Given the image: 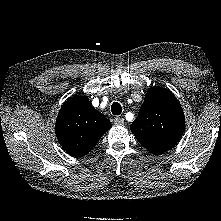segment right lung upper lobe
Here are the masks:
<instances>
[{"label": "right lung upper lobe", "mask_w": 221, "mask_h": 221, "mask_svg": "<svg viewBox=\"0 0 221 221\" xmlns=\"http://www.w3.org/2000/svg\"><path fill=\"white\" fill-rule=\"evenodd\" d=\"M111 123L94 109L87 96H73L61 107L55 131L62 148L72 156L88 154Z\"/></svg>", "instance_id": "1"}]
</instances>
